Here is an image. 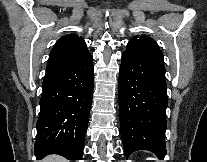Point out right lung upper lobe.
<instances>
[{
    "mask_svg": "<svg viewBox=\"0 0 207 162\" xmlns=\"http://www.w3.org/2000/svg\"><path fill=\"white\" fill-rule=\"evenodd\" d=\"M89 55L82 37L76 34L63 36L50 53L47 71L72 64Z\"/></svg>",
    "mask_w": 207,
    "mask_h": 162,
    "instance_id": "cb5924a9",
    "label": "right lung upper lobe"
}]
</instances>
